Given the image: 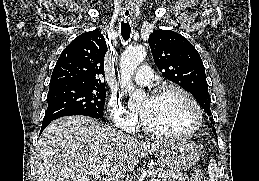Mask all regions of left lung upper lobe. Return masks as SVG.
Here are the masks:
<instances>
[{"label":"left lung upper lobe","mask_w":259,"mask_h":181,"mask_svg":"<svg viewBox=\"0 0 259 181\" xmlns=\"http://www.w3.org/2000/svg\"><path fill=\"white\" fill-rule=\"evenodd\" d=\"M148 42L162 75L189 91L211 116L205 68L195 47L182 35L161 29L151 33ZM212 131L216 135L215 128Z\"/></svg>","instance_id":"left-lung-upper-lobe-1"}]
</instances>
